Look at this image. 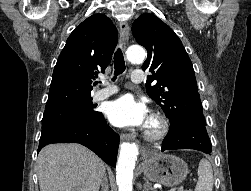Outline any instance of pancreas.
Here are the masks:
<instances>
[{"label":"pancreas","mask_w":251,"mask_h":191,"mask_svg":"<svg viewBox=\"0 0 251 191\" xmlns=\"http://www.w3.org/2000/svg\"><path fill=\"white\" fill-rule=\"evenodd\" d=\"M177 191H187V189H183V187H178Z\"/></svg>","instance_id":"pancreas-1"}]
</instances>
